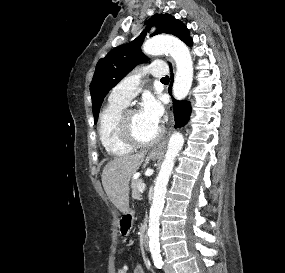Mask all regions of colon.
Segmentation results:
<instances>
[{
  "instance_id": "5ec220e1",
  "label": "colon",
  "mask_w": 285,
  "mask_h": 273,
  "mask_svg": "<svg viewBox=\"0 0 285 273\" xmlns=\"http://www.w3.org/2000/svg\"><path fill=\"white\" fill-rule=\"evenodd\" d=\"M126 272H127V270L125 268H120L118 271V273H126Z\"/></svg>"
}]
</instances>
